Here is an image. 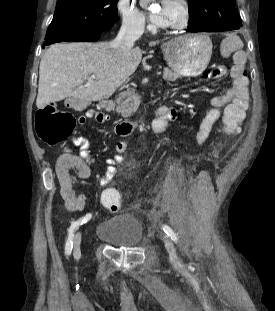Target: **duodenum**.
Listing matches in <instances>:
<instances>
[{
    "instance_id": "410a0bca",
    "label": "duodenum",
    "mask_w": 275,
    "mask_h": 311,
    "mask_svg": "<svg viewBox=\"0 0 275 311\" xmlns=\"http://www.w3.org/2000/svg\"><path fill=\"white\" fill-rule=\"evenodd\" d=\"M101 105L107 109H112L114 107V101L112 99H103ZM157 110H164V108L161 106ZM136 126L137 124L135 122L123 121L115 125V130L117 134L125 136L133 132Z\"/></svg>"
}]
</instances>
